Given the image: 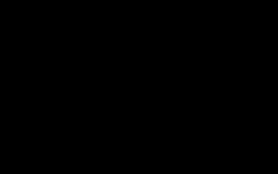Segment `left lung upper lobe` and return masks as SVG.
<instances>
[{"mask_svg": "<svg viewBox=\"0 0 278 174\" xmlns=\"http://www.w3.org/2000/svg\"><path fill=\"white\" fill-rule=\"evenodd\" d=\"M156 29L163 34L177 37L185 47L184 69L174 85L183 84L196 77H214L213 56L206 41L197 31L179 22L158 24Z\"/></svg>", "mask_w": 278, "mask_h": 174, "instance_id": "1", "label": "left lung upper lobe"}]
</instances>
